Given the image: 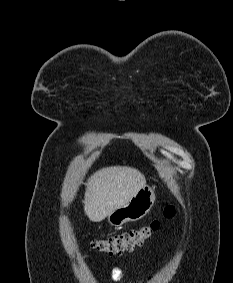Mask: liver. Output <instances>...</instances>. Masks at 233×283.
I'll list each match as a JSON object with an SVG mask.
<instances>
[{
	"label": "liver",
	"mask_w": 233,
	"mask_h": 283,
	"mask_svg": "<svg viewBox=\"0 0 233 283\" xmlns=\"http://www.w3.org/2000/svg\"><path fill=\"white\" fill-rule=\"evenodd\" d=\"M146 185L144 175L128 166L102 168L86 183L84 211L93 222L104 220Z\"/></svg>",
	"instance_id": "obj_1"
}]
</instances>
